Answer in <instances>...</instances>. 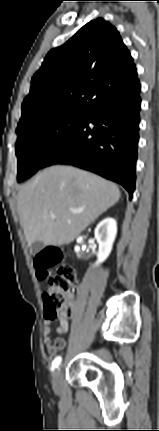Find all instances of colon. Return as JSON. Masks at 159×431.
Returning a JSON list of instances; mask_svg holds the SVG:
<instances>
[{
	"mask_svg": "<svg viewBox=\"0 0 159 431\" xmlns=\"http://www.w3.org/2000/svg\"><path fill=\"white\" fill-rule=\"evenodd\" d=\"M64 253L58 248H46L38 252L34 266L38 278H47L53 269L55 273L49 277L48 285L43 294L45 314L48 320L55 319L59 313H67L65 300L67 293L76 280L74 269L63 264Z\"/></svg>",
	"mask_w": 159,
	"mask_h": 431,
	"instance_id": "colon-1",
	"label": "colon"
}]
</instances>
